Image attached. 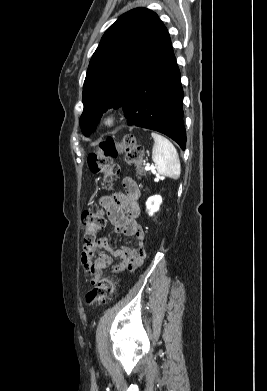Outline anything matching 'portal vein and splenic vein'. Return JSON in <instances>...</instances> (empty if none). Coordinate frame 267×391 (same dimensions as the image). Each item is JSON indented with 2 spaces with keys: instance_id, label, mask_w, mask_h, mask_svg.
<instances>
[{
  "instance_id": "18ae733b",
  "label": "portal vein and splenic vein",
  "mask_w": 267,
  "mask_h": 391,
  "mask_svg": "<svg viewBox=\"0 0 267 391\" xmlns=\"http://www.w3.org/2000/svg\"><path fill=\"white\" fill-rule=\"evenodd\" d=\"M146 169H150V166L147 164Z\"/></svg>"
}]
</instances>
